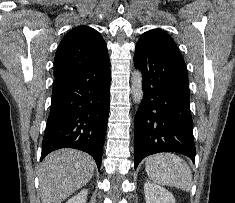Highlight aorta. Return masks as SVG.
I'll list each match as a JSON object with an SVG mask.
<instances>
[{
    "instance_id": "762f6f07",
    "label": "aorta",
    "mask_w": 235,
    "mask_h": 203,
    "mask_svg": "<svg viewBox=\"0 0 235 203\" xmlns=\"http://www.w3.org/2000/svg\"><path fill=\"white\" fill-rule=\"evenodd\" d=\"M132 96H133V101L136 104H140L142 99H143V78H142V73L139 70H135L133 75H132Z\"/></svg>"
}]
</instances>
